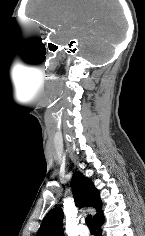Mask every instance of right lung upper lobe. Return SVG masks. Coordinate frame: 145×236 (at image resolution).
Returning <instances> with one entry per match:
<instances>
[{
  "label": "right lung upper lobe",
  "mask_w": 145,
  "mask_h": 236,
  "mask_svg": "<svg viewBox=\"0 0 145 236\" xmlns=\"http://www.w3.org/2000/svg\"><path fill=\"white\" fill-rule=\"evenodd\" d=\"M71 187L77 207L95 208L97 213L94 215V221L103 216L100 193L90 179L81 172H76L72 178ZM63 216L64 213L60 207L50 210L43 219L37 236H64Z\"/></svg>",
  "instance_id": "right-lung-upper-lobe-1"
}]
</instances>
